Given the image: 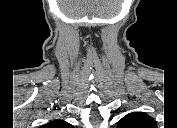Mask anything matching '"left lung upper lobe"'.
Here are the masks:
<instances>
[{"instance_id":"obj_1","label":"left lung upper lobe","mask_w":177,"mask_h":128,"mask_svg":"<svg viewBox=\"0 0 177 128\" xmlns=\"http://www.w3.org/2000/svg\"><path fill=\"white\" fill-rule=\"evenodd\" d=\"M118 128H156L154 120L145 113L132 112L125 115L118 123Z\"/></svg>"}]
</instances>
